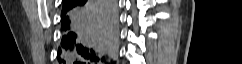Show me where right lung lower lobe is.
Here are the masks:
<instances>
[{
	"label": "right lung lower lobe",
	"instance_id": "right-lung-lower-lobe-1",
	"mask_svg": "<svg viewBox=\"0 0 242 64\" xmlns=\"http://www.w3.org/2000/svg\"><path fill=\"white\" fill-rule=\"evenodd\" d=\"M59 64H110L117 42L116 0H64Z\"/></svg>",
	"mask_w": 242,
	"mask_h": 64
}]
</instances>
